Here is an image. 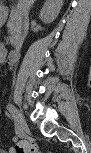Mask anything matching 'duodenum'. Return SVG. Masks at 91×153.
I'll list each match as a JSON object with an SVG mask.
<instances>
[{
	"mask_svg": "<svg viewBox=\"0 0 91 153\" xmlns=\"http://www.w3.org/2000/svg\"><path fill=\"white\" fill-rule=\"evenodd\" d=\"M22 50H23V44H19L15 49L11 50L8 55H7V61L9 63H12L14 61H16L21 53H22Z\"/></svg>",
	"mask_w": 91,
	"mask_h": 153,
	"instance_id": "410a0bca",
	"label": "duodenum"
}]
</instances>
